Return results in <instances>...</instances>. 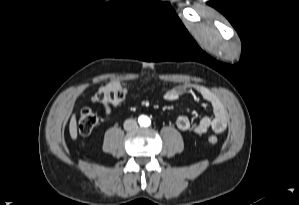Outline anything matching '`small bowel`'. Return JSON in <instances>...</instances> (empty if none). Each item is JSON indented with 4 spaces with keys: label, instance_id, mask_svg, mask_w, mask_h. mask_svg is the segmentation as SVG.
Here are the masks:
<instances>
[{
    "label": "small bowel",
    "instance_id": "obj_1",
    "mask_svg": "<svg viewBox=\"0 0 299 205\" xmlns=\"http://www.w3.org/2000/svg\"><path fill=\"white\" fill-rule=\"evenodd\" d=\"M124 86V82L112 80L99 89V93L109 92ZM189 91L197 92L205 101H207L213 110L212 116L202 117L195 125H192L190 119L181 115L176 120V126L179 130L186 132L192 130L196 134H205L209 130L216 133H223L228 122V113L221 97L211 89L194 83H183L173 86L164 92V99L167 101H175L188 93ZM103 112L107 115L111 114L112 107L110 105L102 106Z\"/></svg>",
    "mask_w": 299,
    "mask_h": 205
}]
</instances>
